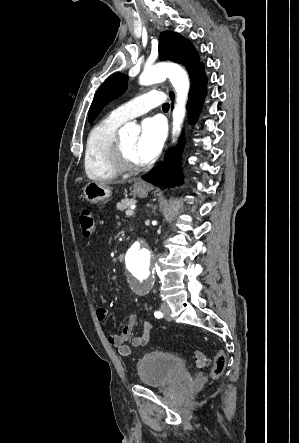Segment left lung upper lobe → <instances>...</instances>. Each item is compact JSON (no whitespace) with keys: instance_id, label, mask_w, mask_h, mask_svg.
I'll use <instances>...</instances> for the list:
<instances>
[{"instance_id":"left-lung-upper-lobe-1","label":"left lung upper lobe","mask_w":299,"mask_h":443,"mask_svg":"<svg viewBox=\"0 0 299 443\" xmlns=\"http://www.w3.org/2000/svg\"><path fill=\"white\" fill-rule=\"evenodd\" d=\"M159 58L171 60L183 65L190 78L202 66L197 51L189 40L178 33L164 31L159 37ZM125 74L116 73L110 76L97 90L89 111V121H93L103 107L120 96L127 87ZM170 95H173L170 92Z\"/></svg>"}]
</instances>
